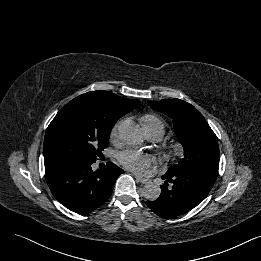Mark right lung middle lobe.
<instances>
[{
    "instance_id": "dd1d6c3e",
    "label": "right lung middle lobe",
    "mask_w": 261,
    "mask_h": 261,
    "mask_svg": "<svg viewBox=\"0 0 261 261\" xmlns=\"http://www.w3.org/2000/svg\"><path fill=\"white\" fill-rule=\"evenodd\" d=\"M119 117L109 116L87 99L74 98L49 124L43 146L44 163L96 160Z\"/></svg>"
}]
</instances>
